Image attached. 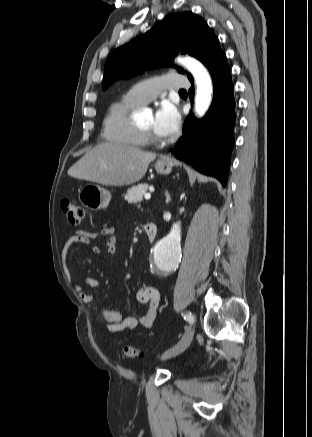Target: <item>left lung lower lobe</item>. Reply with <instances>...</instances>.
I'll list each match as a JSON object with an SVG mask.
<instances>
[{
    "label": "left lung lower lobe",
    "instance_id": "0a47b994",
    "mask_svg": "<svg viewBox=\"0 0 312 437\" xmlns=\"http://www.w3.org/2000/svg\"><path fill=\"white\" fill-rule=\"evenodd\" d=\"M208 69L213 80L212 105L202 119L188 117L183 126V136L175 144L172 153L199 172L216 177L225 186L234 146L235 100L231 70L222 51ZM193 96L190 90L191 102Z\"/></svg>",
    "mask_w": 312,
    "mask_h": 437
}]
</instances>
